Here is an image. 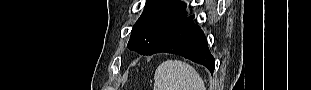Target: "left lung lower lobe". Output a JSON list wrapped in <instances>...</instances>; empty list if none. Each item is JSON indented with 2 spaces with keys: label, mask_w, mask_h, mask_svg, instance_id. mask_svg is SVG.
<instances>
[{
  "label": "left lung lower lobe",
  "mask_w": 311,
  "mask_h": 90,
  "mask_svg": "<svg viewBox=\"0 0 311 90\" xmlns=\"http://www.w3.org/2000/svg\"><path fill=\"white\" fill-rule=\"evenodd\" d=\"M194 16L185 17L152 49L149 55L167 52L181 55L214 71L215 60L211 55L204 33L192 23Z\"/></svg>",
  "instance_id": "obj_1"
}]
</instances>
